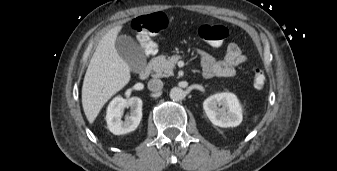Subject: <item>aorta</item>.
Here are the masks:
<instances>
[{
  "instance_id": "obj_1",
  "label": "aorta",
  "mask_w": 337,
  "mask_h": 171,
  "mask_svg": "<svg viewBox=\"0 0 337 171\" xmlns=\"http://www.w3.org/2000/svg\"><path fill=\"white\" fill-rule=\"evenodd\" d=\"M169 95L173 101H181L184 98V91L179 87H174L170 90Z\"/></svg>"
}]
</instances>
